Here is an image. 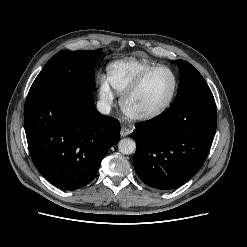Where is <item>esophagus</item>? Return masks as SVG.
Masks as SVG:
<instances>
[{
    "instance_id": "esophagus-1",
    "label": "esophagus",
    "mask_w": 247,
    "mask_h": 247,
    "mask_svg": "<svg viewBox=\"0 0 247 247\" xmlns=\"http://www.w3.org/2000/svg\"><path fill=\"white\" fill-rule=\"evenodd\" d=\"M130 133H131V130L129 128H127L125 126L121 127L120 134H121L122 137H125V136L129 135Z\"/></svg>"
}]
</instances>
